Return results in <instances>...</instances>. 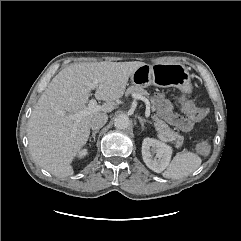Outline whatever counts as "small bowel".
I'll return each mask as SVG.
<instances>
[{
  "instance_id": "1",
  "label": "small bowel",
  "mask_w": 241,
  "mask_h": 241,
  "mask_svg": "<svg viewBox=\"0 0 241 241\" xmlns=\"http://www.w3.org/2000/svg\"><path fill=\"white\" fill-rule=\"evenodd\" d=\"M155 101L157 103V111L159 115L163 117L168 123L177 127L183 132H188L192 129V122L177 114L174 111L171 102L167 100L163 94H157L155 96Z\"/></svg>"
}]
</instances>
